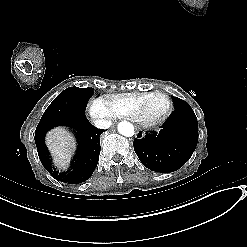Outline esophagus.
<instances>
[{"label": "esophagus", "instance_id": "34e87169", "mask_svg": "<svg viewBox=\"0 0 247 247\" xmlns=\"http://www.w3.org/2000/svg\"><path fill=\"white\" fill-rule=\"evenodd\" d=\"M145 136L144 132L142 131H137L136 132V138L141 139Z\"/></svg>", "mask_w": 247, "mask_h": 247}]
</instances>
